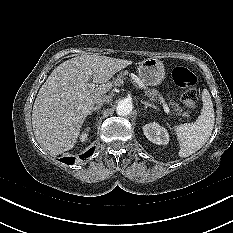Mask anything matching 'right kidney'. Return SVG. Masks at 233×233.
I'll return each mask as SVG.
<instances>
[{
  "label": "right kidney",
  "instance_id": "obj_1",
  "mask_svg": "<svg viewBox=\"0 0 233 233\" xmlns=\"http://www.w3.org/2000/svg\"><path fill=\"white\" fill-rule=\"evenodd\" d=\"M89 131H90V128L87 127V128L85 129V131L82 132V134H81V136H80L81 142H84V141L87 140V138H88V132H89Z\"/></svg>",
  "mask_w": 233,
  "mask_h": 233
}]
</instances>
